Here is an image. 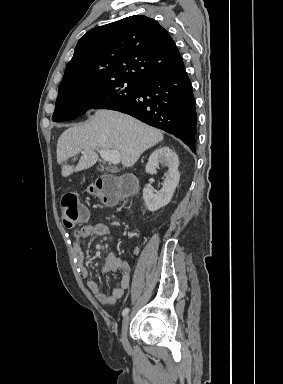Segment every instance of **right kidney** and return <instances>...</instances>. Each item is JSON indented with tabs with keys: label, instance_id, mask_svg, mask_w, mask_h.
Instances as JSON below:
<instances>
[{
	"label": "right kidney",
	"instance_id": "ca27d5eb",
	"mask_svg": "<svg viewBox=\"0 0 283 384\" xmlns=\"http://www.w3.org/2000/svg\"><path fill=\"white\" fill-rule=\"evenodd\" d=\"M158 164L167 166L168 172L159 194H154L152 188H143V200L149 212H156L159 208L169 204L180 178L178 156L168 146H162L151 154L146 166L147 174H157Z\"/></svg>",
	"mask_w": 283,
	"mask_h": 384
}]
</instances>
